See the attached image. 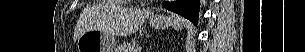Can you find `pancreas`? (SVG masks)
Returning <instances> with one entry per match:
<instances>
[{
	"mask_svg": "<svg viewBox=\"0 0 305 52\" xmlns=\"http://www.w3.org/2000/svg\"><path fill=\"white\" fill-rule=\"evenodd\" d=\"M133 46L130 43H124L118 47V52H132Z\"/></svg>",
	"mask_w": 305,
	"mask_h": 52,
	"instance_id": "cf45deb5",
	"label": "pancreas"
}]
</instances>
